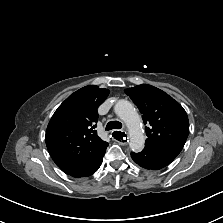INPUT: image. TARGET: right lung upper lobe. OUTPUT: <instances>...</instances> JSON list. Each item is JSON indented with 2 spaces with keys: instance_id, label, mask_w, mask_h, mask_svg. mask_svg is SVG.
Segmentation results:
<instances>
[{
  "instance_id": "obj_1",
  "label": "right lung upper lobe",
  "mask_w": 223,
  "mask_h": 223,
  "mask_svg": "<svg viewBox=\"0 0 223 223\" xmlns=\"http://www.w3.org/2000/svg\"><path fill=\"white\" fill-rule=\"evenodd\" d=\"M109 90L85 86L71 94L55 111L46 131L47 149L66 174L81 170L105 153L108 143L94 130L98 107Z\"/></svg>"
}]
</instances>
